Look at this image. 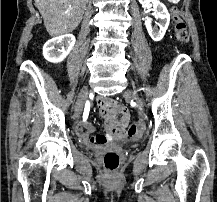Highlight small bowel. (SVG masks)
I'll list each match as a JSON object with an SVG mask.
<instances>
[{"label":"small bowel","mask_w":217,"mask_h":202,"mask_svg":"<svg viewBox=\"0 0 217 202\" xmlns=\"http://www.w3.org/2000/svg\"><path fill=\"white\" fill-rule=\"evenodd\" d=\"M96 105L101 109L99 116L102 121H107V133L105 135L92 136L94 126L89 122H78L74 132L82 143L87 146H94L113 141H124L129 137L139 135L140 131H137L134 135L129 132L130 113L123 108L122 104H117L116 101H97ZM117 113L121 114L119 120H116Z\"/></svg>","instance_id":"c3829d8e"}]
</instances>
